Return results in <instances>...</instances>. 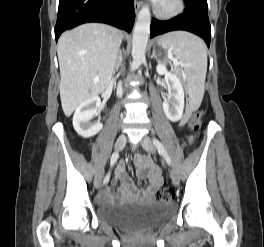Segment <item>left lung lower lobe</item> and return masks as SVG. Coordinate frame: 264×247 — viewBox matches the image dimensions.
<instances>
[{
  "mask_svg": "<svg viewBox=\"0 0 264 247\" xmlns=\"http://www.w3.org/2000/svg\"><path fill=\"white\" fill-rule=\"evenodd\" d=\"M185 11L167 21L152 19L150 38L170 31L185 30L204 39L210 45L211 26L208 18L207 0H184Z\"/></svg>",
  "mask_w": 264,
  "mask_h": 247,
  "instance_id": "1",
  "label": "left lung lower lobe"
}]
</instances>
